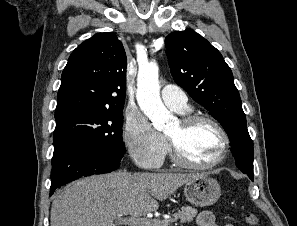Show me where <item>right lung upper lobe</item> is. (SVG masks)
<instances>
[{"label": "right lung upper lobe", "mask_w": 297, "mask_h": 226, "mask_svg": "<svg viewBox=\"0 0 297 226\" xmlns=\"http://www.w3.org/2000/svg\"><path fill=\"white\" fill-rule=\"evenodd\" d=\"M127 57L113 33H99L80 44L65 66L55 119L90 111H122Z\"/></svg>", "instance_id": "obj_1"}]
</instances>
